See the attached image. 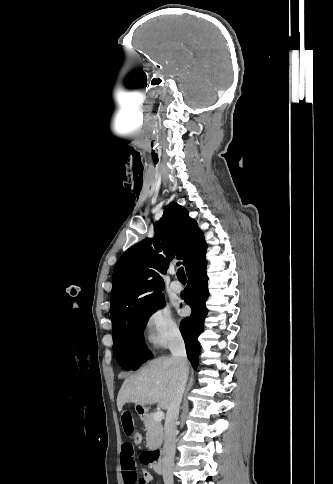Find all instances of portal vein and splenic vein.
Masks as SVG:
<instances>
[{"label":"portal vein and splenic vein","mask_w":333,"mask_h":484,"mask_svg":"<svg viewBox=\"0 0 333 484\" xmlns=\"http://www.w3.org/2000/svg\"><path fill=\"white\" fill-rule=\"evenodd\" d=\"M164 418V412L163 411H157L156 413L153 414V419L157 422L162 421Z\"/></svg>","instance_id":"portal-vein-and-splenic-vein-1"}]
</instances>
